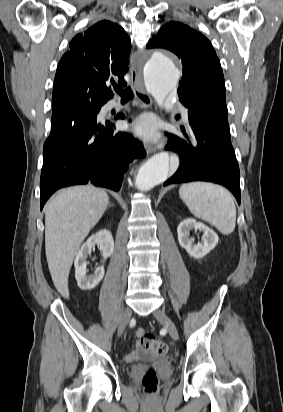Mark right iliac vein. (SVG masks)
<instances>
[{
  "instance_id": "obj_1",
  "label": "right iliac vein",
  "mask_w": 283,
  "mask_h": 412,
  "mask_svg": "<svg viewBox=\"0 0 283 412\" xmlns=\"http://www.w3.org/2000/svg\"><path fill=\"white\" fill-rule=\"evenodd\" d=\"M131 315H132L131 309H130V308H126V309L124 310L123 314H122L120 323H119V325H118V335H119V336H121V335L123 334L124 330L126 329L128 323H129V321H130Z\"/></svg>"
}]
</instances>
